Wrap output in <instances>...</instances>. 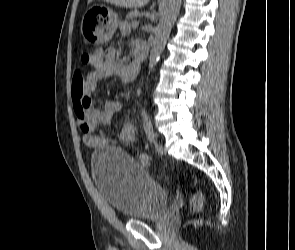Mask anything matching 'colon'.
Segmentation results:
<instances>
[{
    "label": "colon",
    "instance_id": "colon-1",
    "mask_svg": "<svg viewBox=\"0 0 295 250\" xmlns=\"http://www.w3.org/2000/svg\"><path fill=\"white\" fill-rule=\"evenodd\" d=\"M81 59L83 63L85 64L89 63L92 59V52L90 51L84 52ZM203 205H204V197L202 193L198 191L195 192L192 196V207H191L192 213H197L201 211L203 208Z\"/></svg>",
    "mask_w": 295,
    "mask_h": 250
}]
</instances>
